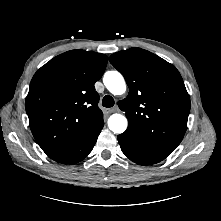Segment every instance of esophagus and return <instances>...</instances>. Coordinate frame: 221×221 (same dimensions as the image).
<instances>
[{
	"instance_id": "1",
	"label": "esophagus",
	"mask_w": 221,
	"mask_h": 221,
	"mask_svg": "<svg viewBox=\"0 0 221 221\" xmlns=\"http://www.w3.org/2000/svg\"><path fill=\"white\" fill-rule=\"evenodd\" d=\"M108 112L109 113L119 112V108L117 106L113 107V108H110V109H108Z\"/></svg>"
}]
</instances>
